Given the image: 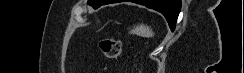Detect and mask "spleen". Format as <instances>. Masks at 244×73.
Here are the masks:
<instances>
[{"instance_id": "obj_1", "label": "spleen", "mask_w": 244, "mask_h": 73, "mask_svg": "<svg viewBox=\"0 0 244 73\" xmlns=\"http://www.w3.org/2000/svg\"><path fill=\"white\" fill-rule=\"evenodd\" d=\"M130 34H135L141 37H153L154 36V32L152 31V29L144 24H139L136 27H134L133 29L130 30L129 32Z\"/></svg>"}]
</instances>
